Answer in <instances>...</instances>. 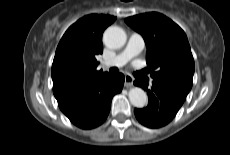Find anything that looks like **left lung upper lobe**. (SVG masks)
Segmentation results:
<instances>
[{
    "mask_svg": "<svg viewBox=\"0 0 230 155\" xmlns=\"http://www.w3.org/2000/svg\"><path fill=\"white\" fill-rule=\"evenodd\" d=\"M125 22L145 40L147 70L154 81L188 95L193 84L194 59L184 31L156 12L128 17Z\"/></svg>",
    "mask_w": 230,
    "mask_h": 155,
    "instance_id": "left-lung-upper-lobe-1",
    "label": "left lung upper lobe"
}]
</instances>
